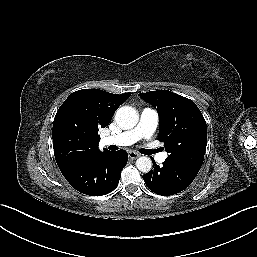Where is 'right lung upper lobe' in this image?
I'll return each instance as SVG.
<instances>
[{
    "label": "right lung upper lobe",
    "instance_id": "obj_1",
    "mask_svg": "<svg viewBox=\"0 0 257 257\" xmlns=\"http://www.w3.org/2000/svg\"><path fill=\"white\" fill-rule=\"evenodd\" d=\"M131 93L100 89L73 92L60 106L53 122L54 155L58 167L79 164L100 152L98 131L106 127Z\"/></svg>",
    "mask_w": 257,
    "mask_h": 257
}]
</instances>
